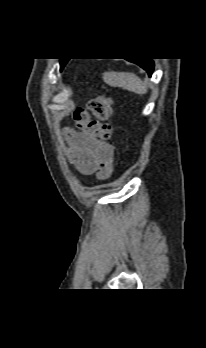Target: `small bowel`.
Here are the masks:
<instances>
[{
	"instance_id": "1",
	"label": "small bowel",
	"mask_w": 206,
	"mask_h": 348,
	"mask_svg": "<svg viewBox=\"0 0 206 348\" xmlns=\"http://www.w3.org/2000/svg\"><path fill=\"white\" fill-rule=\"evenodd\" d=\"M68 141L67 155L84 175H96L99 179L110 177L113 169L114 149L105 141L91 135L65 130Z\"/></svg>"
}]
</instances>
